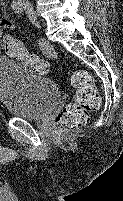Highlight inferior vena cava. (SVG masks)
Listing matches in <instances>:
<instances>
[{"instance_id":"1","label":"inferior vena cava","mask_w":123,"mask_h":201,"mask_svg":"<svg viewBox=\"0 0 123 201\" xmlns=\"http://www.w3.org/2000/svg\"><path fill=\"white\" fill-rule=\"evenodd\" d=\"M20 2L24 5H29V0H20Z\"/></svg>"}]
</instances>
